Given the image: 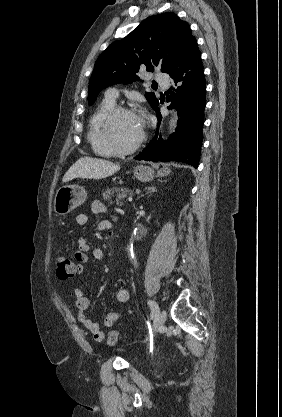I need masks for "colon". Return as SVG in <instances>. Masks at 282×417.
Wrapping results in <instances>:
<instances>
[{
  "mask_svg": "<svg viewBox=\"0 0 282 417\" xmlns=\"http://www.w3.org/2000/svg\"><path fill=\"white\" fill-rule=\"evenodd\" d=\"M57 263V275L60 279H68L74 276V274L81 271L82 266H73V261L66 255H61L56 260ZM120 333L117 330H108L105 336L106 344H117Z\"/></svg>",
  "mask_w": 282,
  "mask_h": 417,
  "instance_id": "1",
  "label": "colon"
}]
</instances>
